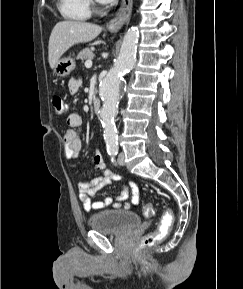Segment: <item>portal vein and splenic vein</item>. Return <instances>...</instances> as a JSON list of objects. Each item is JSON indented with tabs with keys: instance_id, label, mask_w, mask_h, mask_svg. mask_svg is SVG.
I'll use <instances>...</instances> for the list:
<instances>
[{
	"instance_id": "obj_1",
	"label": "portal vein and splenic vein",
	"mask_w": 243,
	"mask_h": 289,
	"mask_svg": "<svg viewBox=\"0 0 243 289\" xmlns=\"http://www.w3.org/2000/svg\"><path fill=\"white\" fill-rule=\"evenodd\" d=\"M92 66V61L91 60H87L86 62H85V67L86 68H90Z\"/></svg>"
}]
</instances>
